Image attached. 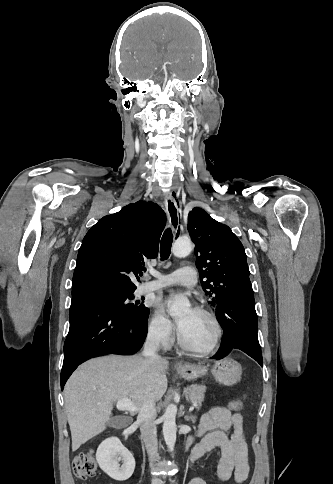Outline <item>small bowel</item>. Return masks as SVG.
I'll use <instances>...</instances> for the list:
<instances>
[{"instance_id": "1", "label": "small bowel", "mask_w": 333, "mask_h": 484, "mask_svg": "<svg viewBox=\"0 0 333 484\" xmlns=\"http://www.w3.org/2000/svg\"><path fill=\"white\" fill-rule=\"evenodd\" d=\"M197 434L203 437L193 448L192 461L214 448H220L221 457L217 467L220 481L226 482L233 477L237 483H242L247 479L248 447L244 419L240 412L223 406L212 408L202 416ZM188 484L207 483L202 478H195Z\"/></svg>"}]
</instances>
